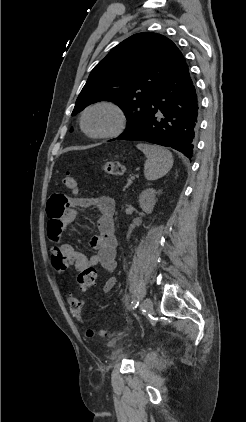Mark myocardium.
Returning <instances> with one entry per match:
<instances>
[{"instance_id": "f54148a6", "label": "myocardium", "mask_w": 246, "mask_h": 422, "mask_svg": "<svg viewBox=\"0 0 246 422\" xmlns=\"http://www.w3.org/2000/svg\"><path fill=\"white\" fill-rule=\"evenodd\" d=\"M97 108H106V109L111 110L114 113L116 120H115L114 125L109 130H106L100 133H92L85 126V118H86V115L91 110H94ZM79 124H80L81 130L86 136L93 139H108V138L116 137L123 132L127 124V118H126V114L124 110L118 104L112 101L102 100V101H97L88 105L83 110L80 116Z\"/></svg>"}]
</instances>
